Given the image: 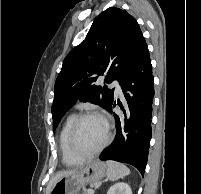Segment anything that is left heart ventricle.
Instances as JSON below:
<instances>
[{
  "label": "left heart ventricle",
  "instance_id": "b2bd125f",
  "mask_svg": "<svg viewBox=\"0 0 201 194\" xmlns=\"http://www.w3.org/2000/svg\"><path fill=\"white\" fill-rule=\"evenodd\" d=\"M106 125L97 117L87 118L79 126L77 143L81 150L91 152L97 149L106 137Z\"/></svg>",
  "mask_w": 201,
  "mask_h": 194
}]
</instances>
